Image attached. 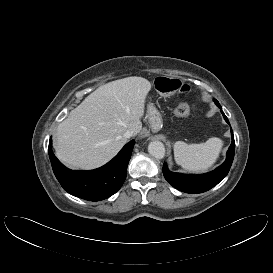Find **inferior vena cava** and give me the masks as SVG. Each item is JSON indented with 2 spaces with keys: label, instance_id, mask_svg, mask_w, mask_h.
Listing matches in <instances>:
<instances>
[{
  "label": "inferior vena cava",
  "instance_id": "602c4592",
  "mask_svg": "<svg viewBox=\"0 0 273 273\" xmlns=\"http://www.w3.org/2000/svg\"><path fill=\"white\" fill-rule=\"evenodd\" d=\"M135 135V132H134V130H132V129H129V130H127L125 133H124V137L125 138H130V137H132V136H134Z\"/></svg>",
  "mask_w": 273,
  "mask_h": 273
}]
</instances>
